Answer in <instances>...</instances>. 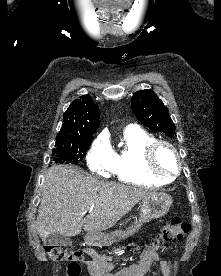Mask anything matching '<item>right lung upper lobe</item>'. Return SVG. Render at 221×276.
<instances>
[{
    "instance_id": "obj_1",
    "label": "right lung upper lobe",
    "mask_w": 221,
    "mask_h": 276,
    "mask_svg": "<svg viewBox=\"0 0 221 276\" xmlns=\"http://www.w3.org/2000/svg\"><path fill=\"white\" fill-rule=\"evenodd\" d=\"M98 109V106L92 103L90 95H83L74 100L64 113V123L56 141L92 139V134L100 124Z\"/></svg>"
}]
</instances>
